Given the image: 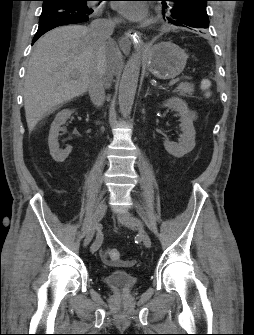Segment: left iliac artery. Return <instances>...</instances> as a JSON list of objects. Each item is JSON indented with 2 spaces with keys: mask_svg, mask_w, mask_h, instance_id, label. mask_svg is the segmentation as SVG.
Returning <instances> with one entry per match:
<instances>
[{
  "mask_svg": "<svg viewBox=\"0 0 254 335\" xmlns=\"http://www.w3.org/2000/svg\"><path fill=\"white\" fill-rule=\"evenodd\" d=\"M133 220L138 224V225H141V221L137 218H133Z\"/></svg>",
  "mask_w": 254,
  "mask_h": 335,
  "instance_id": "left-iliac-artery-1",
  "label": "left iliac artery"
}]
</instances>
